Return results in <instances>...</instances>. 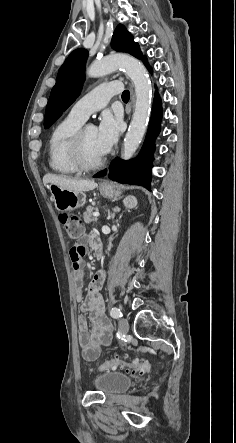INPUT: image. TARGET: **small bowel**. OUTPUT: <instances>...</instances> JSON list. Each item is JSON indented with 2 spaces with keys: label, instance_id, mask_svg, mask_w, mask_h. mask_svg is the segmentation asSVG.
Here are the masks:
<instances>
[{
  "label": "small bowel",
  "instance_id": "small-bowel-1",
  "mask_svg": "<svg viewBox=\"0 0 236 443\" xmlns=\"http://www.w3.org/2000/svg\"><path fill=\"white\" fill-rule=\"evenodd\" d=\"M87 244L94 250L102 246L100 239L94 233L89 234L86 238H82L76 247L82 248L85 253ZM80 264L81 267L78 270H74L75 298L82 311L88 314V318L79 316L77 319L78 341L84 356L88 355L89 359L93 361L98 358L101 348L109 346L112 342V327L104 313L105 304L100 293L106 274L104 271L96 273L88 284L86 295H84L82 260H80ZM88 320L92 323L91 328H89Z\"/></svg>",
  "mask_w": 236,
  "mask_h": 443
}]
</instances>
